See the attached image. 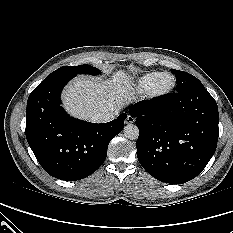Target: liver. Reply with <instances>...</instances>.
<instances>
[{"instance_id": "1", "label": "liver", "mask_w": 233, "mask_h": 233, "mask_svg": "<svg viewBox=\"0 0 233 233\" xmlns=\"http://www.w3.org/2000/svg\"><path fill=\"white\" fill-rule=\"evenodd\" d=\"M134 98L132 78L122 70L105 81L79 76L66 86L62 94L65 110L83 120H91L97 113L118 114Z\"/></svg>"}]
</instances>
